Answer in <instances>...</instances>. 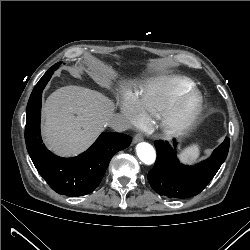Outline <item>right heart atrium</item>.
Returning <instances> with one entry per match:
<instances>
[{"label": "right heart atrium", "instance_id": "right-heart-atrium-1", "mask_svg": "<svg viewBox=\"0 0 250 250\" xmlns=\"http://www.w3.org/2000/svg\"><path fill=\"white\" fill-rule=\"evenodd\" d=\"M121 110L129 125H140L145 122L141 107L135 96L127 94L123 98Z\"/></svg>", "mask_w": 250, "mask_h": 250}]
</instances>
